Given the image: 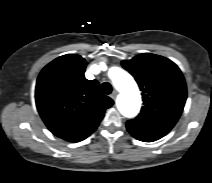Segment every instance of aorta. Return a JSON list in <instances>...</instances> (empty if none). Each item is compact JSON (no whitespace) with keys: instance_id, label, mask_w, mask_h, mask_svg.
<instances>
[{"instance_id":"obj_1","label":"aorta","mask_w":212,"mask_h":183,"mask_svg":"<svg viewBox=\"0 0 212 183\" xmlns=\"http://www.w3.org/2000/svg\"><path fill=\"white\" fill-rule=\"evenodd\" d=\"M115 88L120 92L117 106L127 118L136 116L141 107V96L132 76L120 67L113 66L109 70Z\"/></svg>"}]
</instances>
